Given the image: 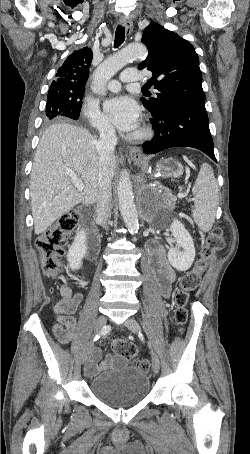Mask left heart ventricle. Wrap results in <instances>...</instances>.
<instances>
[{"instance_id": "1", "label": "left heart ventricle", "mask_w": 250, "mask_h": 454, "mask_svg": "<svg viewBox=\"0 0 250 454\" xmlns=\"http://www.w3.org/2000/svg\"><path fill=\"white\" fill-rule=\"evenodd\" d=\"M137 131H138V128H137V129H135V130H134V131H133V132H132L131 134H133V133H136Z\"/></svg>"}]
</instances>
